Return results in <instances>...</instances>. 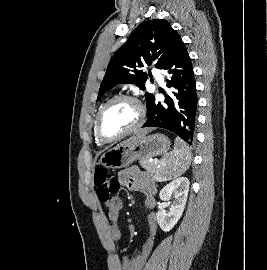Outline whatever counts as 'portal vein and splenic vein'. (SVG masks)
Instances as JSON below:
<instances>
[{"mask_svg": "<svg viewBox=\"0 0 267 270\" xmlns=\"http://www.w3.org/2000/svg\"><path fill=\"white\" fill-rule=\"evenodd\" d=\"M154 162H155V163H158V161H157V160H155Z\"/></svg>", "mask_w": 267, "mask_h": 270, "instance_id": "obj_1", "label": "portal vein and splenic vein"}]
</instances>
